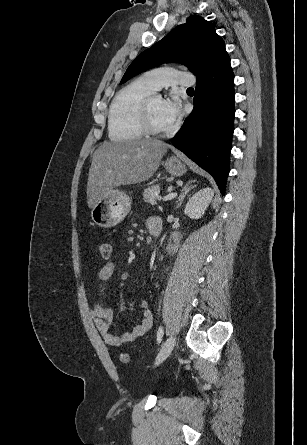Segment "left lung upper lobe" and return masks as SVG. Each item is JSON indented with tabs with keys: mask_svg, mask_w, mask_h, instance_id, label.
<instances>
[{
	"mask_svg": "<svg viewBox=\"0 0 307 445\" xmlns=\"http://www.w3.org/2000/svg\"><path fill=\"white\" fill-rule=\"evenodd\" d=\"M228 54L214 25L200 16H190L162 40L143 51L128 67L121 84L165 62H182L197 77Z\"/></svg>",
	"mask_w": 307,
	"mask_h": 445,
	"instance_id": "5c2ea615",
	"label": "left lung upper lobe"
}]
</instances>
